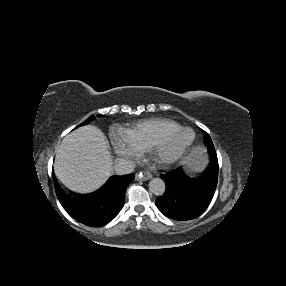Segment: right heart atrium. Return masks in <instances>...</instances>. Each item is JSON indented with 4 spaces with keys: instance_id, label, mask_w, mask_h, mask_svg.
Listing matches in <instances>:
<instances>
[{
    "instance_id": "1",
    "label": "right heart atrium",
    "mask_w": 286,
    "mask_h": 286,
    "mask_svg": "<svg viewBox=\"0 0 286 286\" xmlns=\"http://www.w3.org/2000/svg\"><path fill=\"white\" fill-rule=\"evenodd\" d=\"M111 143L115 153L123 158L135 160L143 151L128 133L114 134Z\"/></svg>"
}]
</instances>
